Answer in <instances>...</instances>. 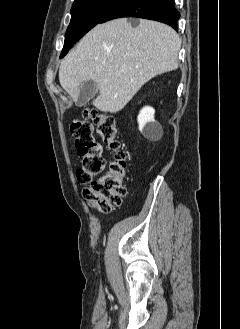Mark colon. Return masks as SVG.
Masks as SVG:
<instances>
[{
    "label": "colon",
    "instance_id": "obj_1",
    "mask_svg": "<svg viewBox=\"0 0 240 329\" xmlns=\"http://www.w3.org/2000/svg\"><path fill=\"white\" fill-rule=\"evenodd\" d=\"M90 119L95 122L97 132L103 142L115 152V159L105 173L96 180H93L94 177L104 169V160L101 155V146L93 138ZM70 130L80 158L77 179L81 183L91 182V186L84 192V197L99 212H111L122 204L126 194L124 182L127 157L118 139L116 118L107 112L86 110L81 118L73 120Z\"/></svg>",
    "mask_w": 240,
    "mask_h": 329
}]
</instances>
